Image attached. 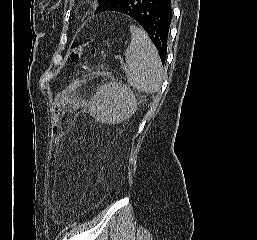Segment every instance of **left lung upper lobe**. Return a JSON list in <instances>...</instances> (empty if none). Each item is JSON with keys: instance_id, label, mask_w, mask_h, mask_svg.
Listing matches in <instances>:
<instances>
[{"instance_id": "5c2ea615", "label": "left lung upper lobe", "mask_w": 257, "mask_h": 240, "mask_svg": "<svg viewBox=\"0 0 257 240\" xmlns=\"http://www.w3.org/2000/svg\"><path fill=\"white\" fill-rule=\"evenodd\" d=\"M123 0H99V7L96 9L95 14L109 11L113 7L119 5Z\"/></svg>"}]
</instances>
